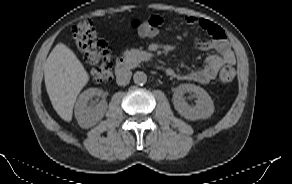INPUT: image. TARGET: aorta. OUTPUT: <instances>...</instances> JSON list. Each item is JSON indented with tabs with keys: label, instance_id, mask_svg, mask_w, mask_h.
Returning <instances> with one entry per match:
<instances>
[{
	"label": "aorta",
	"instance_id": "762f6f07",
	"mask_svg": "<svg viewBox=\"0 0 292 184\" xmlns=\"http://www.w3.org/2000/svg\"><path fill=\"white\" fill-rule=\"evenodd\" d=\"M133 81L137 85H143L147 82V75L143 71H137L133 75Z\"/></svg>",
	"mask_w": 292,
	"mask_h": 184
}]
</instances>
